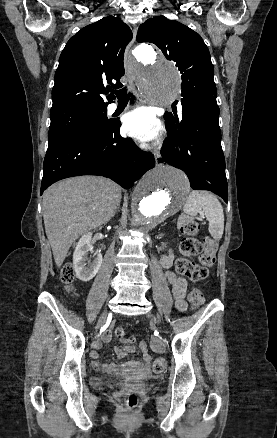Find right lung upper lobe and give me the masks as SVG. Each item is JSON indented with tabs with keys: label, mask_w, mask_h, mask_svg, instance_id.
<instances>
[{
	"label": "right lung upper lobe",
	"mask_w": 277,
	"mask_h": 438,
	"mask_svg": "<svg viewBox=\"0 0 277 438\" xmlns=\"http://www.w3.org/2000/svg\"><path fill=\"white\" fill-rule=\"evenodd\" d=\"M132 39L130 28L108 16L82 28L67 42L55 73L50 113L81 108H107L100 94L120 88L123 56ZM109 96L114 99V95Z\"/></svg>",
	"instance_id": "cb5924a9"
}]
</instances>
